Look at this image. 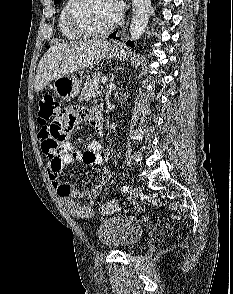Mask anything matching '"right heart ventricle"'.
<instances>
[{
	"instance_id": "right-heart-ventricle-1",
	"label": "right heart ventricle",
	"mask_w": 233,
	"mask_h": 294,
	"mask_svg": "<svg viewBox=\"0 0 233 294\" xmlns=\"http://www.w3.org/2000/svg\"><path fill=\"white\" fill-rule=\"evenodd\" d=\"M74 0H65L58 15V29L60 34L68 40H78L83 36L78 34L69 23V11Z\"/></svg>"
}]
</instances>
